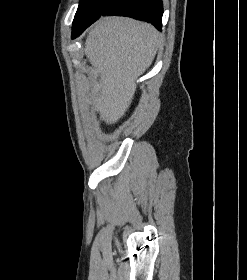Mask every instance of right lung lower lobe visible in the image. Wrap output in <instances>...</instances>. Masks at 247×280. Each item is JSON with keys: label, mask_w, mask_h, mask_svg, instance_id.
Segmentation results:
<instances>
[{"label": "right lung lower lobe", "mask_w": 247, "mask_h": 280, "mask_svg": "<svg viewBox=\"0 0 247 280\" xmlns=\"http://www.w3.org/2000/svg\"><path fill=\"white\" fill-rule=\"evenodd\" d=\"M128 16L153 24L161 30L163 6L162 0H110L98 17L73 27L72 38L79 36L89 25L100 16Z\"/></svg>", "instance_id": "right-lung-lower-lobe-1"}]
</instances>
